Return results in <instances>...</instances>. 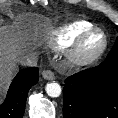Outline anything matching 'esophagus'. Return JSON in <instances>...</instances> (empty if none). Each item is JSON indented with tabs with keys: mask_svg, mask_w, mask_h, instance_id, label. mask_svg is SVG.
Listing matches in <instances>:
<instances>
[{
	"mask_svg": "<svg viewBox=\"0 0 118 118\" xmlns=\"http://www.w3.org/2000/svg\"><path fill=\"white\" fill-rule=\"evenodd\" d=\"M42 76L46 80H54L55 79V75L51 70H44L42 72Z\"/></svg>",
	"mask_w": 118,
	"mask_h": 118,
	"instance_id": "obj_1",
	"label": "esophagus"
}]
</instances>
